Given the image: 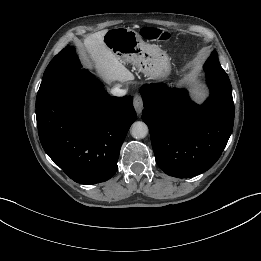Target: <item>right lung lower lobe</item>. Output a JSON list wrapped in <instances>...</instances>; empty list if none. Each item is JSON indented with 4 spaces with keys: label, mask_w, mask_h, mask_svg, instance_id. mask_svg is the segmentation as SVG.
Wrapping results in <instances>:
<instances>
[{
    "label": "right lung lower lobe",
    "mask_w": 261,
    "mask_h": 261,
    "mask_svg": "<svg viewBox=\"0 0 261 261\" xmlns=\"http://www.w3.org/2000/svg\"><path fill=\"white\" fill-rule=\"evenodd\" d=\"M36 117L45 152L81 184L104 182L116 173L121 145L137 119L132 96H108L80 69L36 101Z\"/></svg>",
    "instance_id": "1"
}]
</instances>
